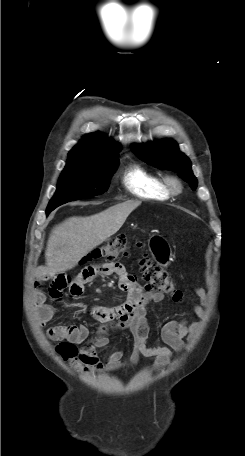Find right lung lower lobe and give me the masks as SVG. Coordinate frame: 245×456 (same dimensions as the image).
Instances as JSON below:
<instances>
[{
	"mask_svg": "<svg viewBox=\"0 0 245 456\" xmlns=\"http://www.w3.org/2000/svg\"><path fill=\"white\" fill-rule=\"evenodd\" d=\"M51 211H52V210H48V211H46V214H47V215H49V213H50Z\"/></svg>",
	"mask_w": 245,
	"mask_h": 456,
	"instance_id": "obj_1",
	"label": "right lung lower lobe"
}]
</instances>
